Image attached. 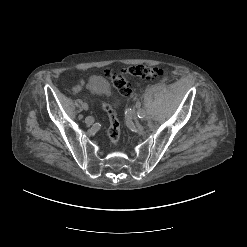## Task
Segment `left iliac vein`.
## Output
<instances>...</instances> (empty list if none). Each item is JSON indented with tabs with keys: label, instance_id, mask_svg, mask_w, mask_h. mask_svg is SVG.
I'll list each match as a JSON object with an SVG mask.
<instances>
[{
	"label": "left iliac vein",
	"instance_id": "left-iliac-vein-1",
	"mask_svg": "<svg viewBox=\"0 0 247 247\" xmlns=\"http://www.w3.org/2000/svg\"><path fill=\"white\" fill-rule=\"evenodd\" d=\"M132 115H133V117H134L135 119L137 118L136 112L133 111Z\"/></svg>",
	"mask_w": 247,
	"mask_h": 247
}]
</instances>
